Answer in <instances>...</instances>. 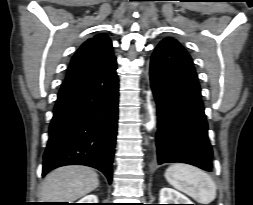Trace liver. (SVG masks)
Returning <instances> with one entry per match:
<instances>
[{
    "label": "liver",
    "instance_id": "6515ba94",
    "mask_svg": "<svg viewBox=\"0 0 253 205\" xmlns=\"http://www.w3.org/2000/svg\"><path fill=\"white\" fill-rule=\"evenodd\" d=\"M98 174L86 166H65L51 171L44 178L40 199L43 202L75 201L96 189Z\"/></svg>",
    "mask_w": 253,
    "mask_h": 205
}]
</instances>
